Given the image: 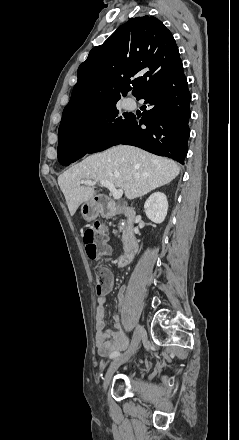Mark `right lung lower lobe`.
Wrapping results in <instances>:
<instances>
[{
  "instance_id": "obj_1",
  "label": "right lung lower lobe",
  "mask_w": 239,
  "mask_h": 440,
  "mask_svg": "<svg viewBox=\"0 0 239 440\" xmlns=\"http://www.w3.org/2000/svg\"><path fill=\"white\" fill-rule=\"evenodd\" d=\"M136 98L144 99V103L150 107L140 119L132 114L120 127L90 145L62 147L58 150L59 162L67 166L87 153L102 151L117 144H128L184 164L190 136L188 121L191 116V95L182 61Z\"/></svg>"
}]
</instances>
